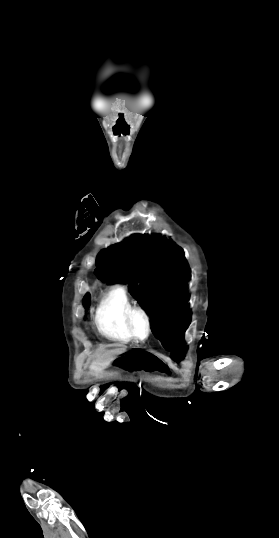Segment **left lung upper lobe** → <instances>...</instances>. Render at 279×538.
<instances>
[{
	"label": "left lung upper lobe",
	"instance_id": "obj_1",
	"mask_svg": "<svg viewBox=\"0 0 279 538\" xmlns=\"http://www.w3.org/2000/svg\"><path fill=\"white\" fill-rule=\"evenodd\" d=\"M95 274L108 283L126 282L129 292L152 319L154 335L174 331L184 336L191 321L183 249L159 235H132L102 250Z\"/></svg>",
	"mask_w": 279,
	"mask_h": 538
}]
</instances>
